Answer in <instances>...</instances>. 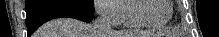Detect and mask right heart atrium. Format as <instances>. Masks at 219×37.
I'll list each match as a JSON object with an SVG mask.
<instances>
[{"mask_svg": "<svg viewBox=\"0 0 219 37\" xmlns=\"http://www.w3.org/2000/svg\"><path fill=\"white\" fill-rule=\"evenodd\" d=\"M95 6L99 15L109 22L118 23L124 17L121 0H97Z\"/></svg>", "mask_w": 219, "mask_h": 37, "instance_id": "obj_1", "label": "right heart atrium"}]
</instances>
